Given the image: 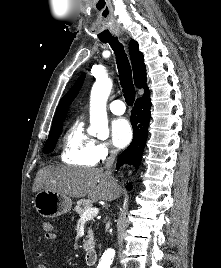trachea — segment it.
<instances>
[{"label": "trachea", "mask_w": 221, "mask_h": 268, "mask_svg": "<svg viewBox=\"0 0 221 268\" xmlns=\"http://www.w3.org/2000/svg\"><path fill=\"white\" fill-rule=\"evenodd\" d=\"M103 43H109L115 53L117 68L119 72V80L124 93V98L129 106H132L135 100V89L132 81V70L129 60L124 51L123 45L117 37L102 40Z\"/></svg>", "instance_id": "3493384b"}]
</instances>
